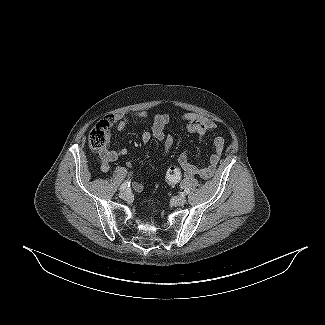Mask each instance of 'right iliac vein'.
Wrapping results in <instances>:
<instances>
[{"instance_id":"obj_1","label":"right iliac vein","mask_w":325,"mask_h":325,"mask_svg":"<svg viewBox=\"0 0 325 325\" xmlns=\"http://www.w3.org/2000/svg\"><path fill=\"white\" fill-rule=\"evenodd\" d=\"M120 198L123 200H129L131 198V194L129 191H123L120 193Z\"/></svg>"}]
</instances>
